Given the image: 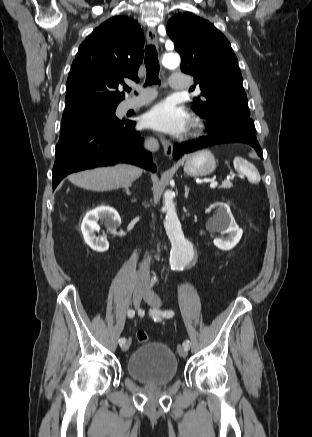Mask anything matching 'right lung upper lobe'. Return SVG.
I'll return each mask as SVG.
<instances>
[{
    "label": "right lung upper lobe",
    "mask_w": 312,
    "mask_h": 437,
    "mask_svg": "<svg viewBox=\"0 0 312 437\" xmlns=\"http://www.w3.org/2000/svg\"><path fill=\"white\" fill-rule=\"evenodd\" d=\"M143 31L137 21L115 16L80 45L67 79L66 109L84 105H118L124 78L138 81L143 60Z\"/></svg>",
    "instance_id": "right-lung-upper-lobe-1"
}]
</instances>
